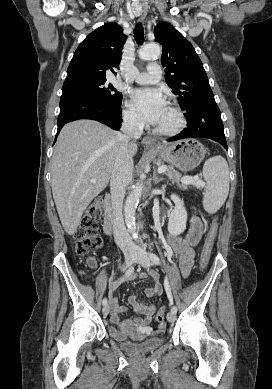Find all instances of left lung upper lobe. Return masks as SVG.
Segmentation results:
<instances>
[{"mask_svg":"<svg viewBox=\"0 0 272 389\" xmlns=\"http://www.w3.org/2000/svg\"><path fill=\"white\" fill-rule=\"evenodd\" d=\"M154 34L163 47L161 64L166 68V83L178 97L180 107L188 113L202 101L213 98L203 64L192 44L165 22L157 24Z\"/></svg>","mask_w":272,"mask_h":389,"instance_id":"left-lung-upper-lobe-1","label":"left lung upper lobe"}]
</instances>
